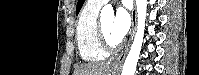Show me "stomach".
I'll return each instance as SVG.
<instances>
[{
  "mask_svg": "<svg viewBox=\"0 0 199 75\" xmlns=\"http://www.w3.org/2000/svg\"><path fill=\"white\" fill-rule=\"evenodd\" d=\"M115 73H116L115 70H113V71H112V74L115 75Z\"/></svg>",
  "mask_w": 199,
  "mask_h": 75,
  "instance_id": "1",
  "label": "stomach"
}]
</instances>
